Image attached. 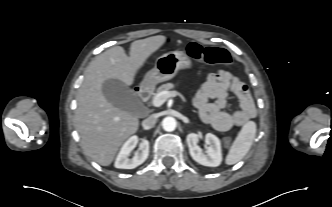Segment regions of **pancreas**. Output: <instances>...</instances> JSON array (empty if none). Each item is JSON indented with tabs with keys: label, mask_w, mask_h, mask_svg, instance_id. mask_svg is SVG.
<instances>
[{
	"label": "pancreas",
	"mask_w": 332,
	"mask_h": 207,
	"mask_svg": "<svg viewBox=\"0 0 332 207\" xmlns=\"http://www.w3.org/2000/svg\"><path fill=\"white\" fill-rule=\"evenodd\" d=\"M174 87H175V85H174L173 83H166V84H163V85H161V86L157 89V92L154 93V97H155L157 94H159V93H161V92H163V91H169V90L173 89ZM153 99H154V98H153Z\"/></svg>",
	"instance_id": "1"
}]
</instances>
